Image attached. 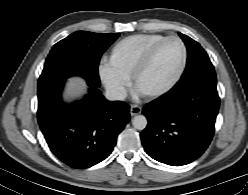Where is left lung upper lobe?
Returning a JSON list of instances; mask_svg holds the SVG:
<instances>
[{
	"mask_svg": "<svg viewBox=\"0 0 248 195\" xmlns=\"http://www.w3.org/2000/svg\"><path fill=\"white\" fill-rule=\"evenodd\" d=\"M178 34L185 42L188 51L186 69L178 85L186 88L199 83L216 82L214 67L205 50L190 37L182 33Z\"/></svg>",
	"mask_w": 248,
	"mask_h": 195,
	"instance_id": "5c2ea615",
	"label": "left lung upper lobe"
}]
</instances>
